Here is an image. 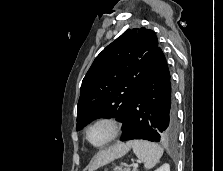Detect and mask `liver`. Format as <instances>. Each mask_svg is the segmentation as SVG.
Returning <instances> with one entry per match:
<instances>
[{"label": "liver", "instance_id": "6515ba94", "mask_svg": "<svg viewBox=\"0 0 223 171\" xmlns=\"http://www.w3.org/2000/svg\"><path fill=\"white\" fill-rule=\"evenodd\" d=\"M131 148L130 143H117L106 150H102L94 157L88 166L89 171H95L101 166H104L115 159L124 156Z\"/></svg>", "mask_w": 223, "mask_h": 171}]
</instances>
